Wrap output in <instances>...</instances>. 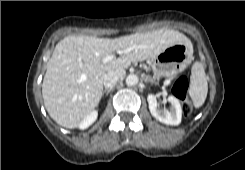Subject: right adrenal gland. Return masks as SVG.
<instances>
[{
  "mask_svg": "<svg viewBox=\"0 0 245 170\" xmlns=\"http://www.w3.org/2000/svg\"><path fill=\"white\" fill-rule=\"evenodd\" d=\"M111 91H112V88L111 89H106V90L103 91V95L104 94H109Z\"/></svg>",
  "mask_w": 245,
  "mask_h": 170,
  "instance_id": "1",
  "label": "right adrenal gland"
}]
</instances>
